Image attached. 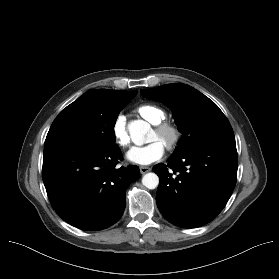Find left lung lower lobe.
Here are the masks:
<instances>
[{"instance_id":"left-lung-lower-lobe-1","label":"left lung lower lobe","mask_w":279,"mask_h":279,"mask_svg":"<svg viewBox=\"0 0 279 279\" xmlns=\"http://www.w3.org/2000/svg\"><path fill=\"white\" fill-rule=\"evenodd\" d=\"M237 164L235 142H220L172 155L167 165H155L153 171L160 178L156 202L161 214L182 228L209 223L234 190Z\"/></svg>"}]
</instances>
